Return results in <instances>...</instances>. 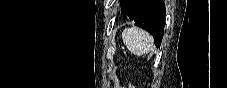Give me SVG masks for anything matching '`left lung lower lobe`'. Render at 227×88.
<instances>
[{"label":"left lung lower lobe","mask_w":227,"mask_h":88,"mask_svg":"<svg viewBox=\"0 0 227 88\" xmlns=\"http://www.w3.org/2000/svg\"><path fill=\"white\" fill-rule=\"evenodd\" d=\"M120 5L122 13L151 33L156 47H160L166 16L163 0H122Z\"/></svg>","instance_id":"obj_1"}]
</instances>
